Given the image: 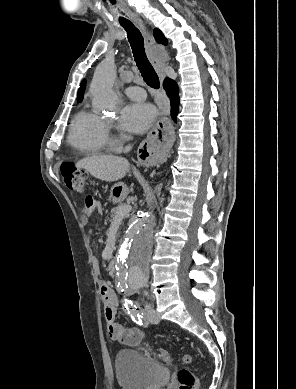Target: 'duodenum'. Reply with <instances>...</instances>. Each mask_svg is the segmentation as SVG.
Here are the masks:
<instances>
[{
	"label": "duodenum",
	"instance_id": "duodenum-1",
	"mask_svg": "<svg viewBox=\"0 0 296 389\" xmlns=\"http://www.w3.org/2000/svg\"><path fill=\"white\" fill-rule=\"evenodd\" d=\"M108 269L111 274L116 273V260L114 258L110 259L108 263Z\"/></svg>",
	"mask_w": 296,
	"mask_h": 389
}]
</instances>
